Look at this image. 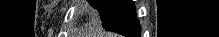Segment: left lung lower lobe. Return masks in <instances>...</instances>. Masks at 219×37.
I'll return each instance as SVG.
<instances>
[{"mask_svg": "<svg viewBox=\"0 0 219 37\" xmlns=\"http://www.w3.org/2000/svg\"><path fill=\"white\" fill-rule=\"evenodd\" d=\"M106 30L117 32L126 37H140L141 28L131 0H124Z\"/></svg>", "mask_w": 219, "mask_h": 37, "instance_id": "obj_1", "label": "left lung lower lobe"}]
</instances>
